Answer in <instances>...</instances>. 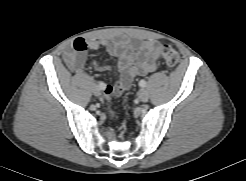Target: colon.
<instances>
[{"instance_id": "5ec220e1", "label": "colon", "mask_w": 246, "mask_h": 181, "mask_svg": "<svg viewBox=\"0 0 246 181\" xmlns=\"http://www.w3.org/2000/svg\"><path fill=\"white\" fill-rule=\"evenodd\" d=\"M161 54L164 62L168 67H175L178 62H179V53L175 48H173L170 45H164L161 49ZM105 96L107 101H109V94H108V89L105 91ZM110 115L111 117H115V112L113 110H110Z\"/></svg>"}]
</instances>
